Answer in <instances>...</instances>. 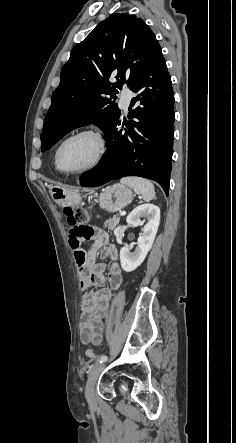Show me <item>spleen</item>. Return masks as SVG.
<instances>
[{"label": "spleen", "mask_w": 236, "mask_h": 443, "mask_svg": "<svg viewBox=\"0 0 236 443\" xmlns=\"http://www.w3.org/2000/svg\"><path fill=\"white\" fill-rule=\"evenodd\" d=\"M120 183L131 187L145 201H150L155 197L154 185L145 178L124 177L121 178Z\"/></svg>", "instance_id": "3e777b00"}]
</instances>
